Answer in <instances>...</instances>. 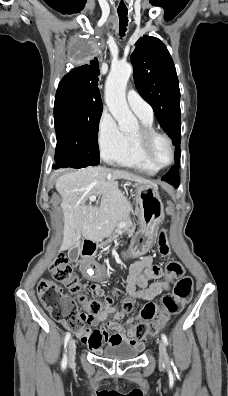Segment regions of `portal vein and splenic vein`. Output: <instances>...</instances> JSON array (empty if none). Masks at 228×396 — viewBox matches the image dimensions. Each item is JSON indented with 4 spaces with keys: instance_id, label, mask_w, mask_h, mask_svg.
Instances as JSON below:
<instances>
[{
    "instance_id": "18ae733b",
    "label": "portal vein and splenic vein",
    "mask_w": 228,
    "mask_h": 396,
    "mask_svg": "<svg viewBox=\"0 0 228 396\" xmlns=\"http://www.w3.org/2000/svg\"><path fill=\"white\" fill-rule=\"evenodd\" d=\"M96 195H91L90 197H89V200L91 201V202H94V201H96ZM121 226H126V223H122L121 224Z\"/></svg>"
}]
</instances>
